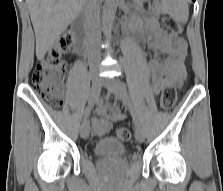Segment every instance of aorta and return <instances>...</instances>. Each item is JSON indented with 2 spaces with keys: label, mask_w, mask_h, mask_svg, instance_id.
Here are the masks:
<instances>
[{
  "label": "aorta",
  "mask_w": 223,
  "mask_h": 191,
  "mask_svg": "<svg viewBox=\"0 0 223 191\" xmlns=\"http://www.w3.org/2000/svg\"><path fill=\"white\" fill-rule=\"evenodd\" d=\"M118 0H105L102 11L103 31L107 37H111L113 22L116 15Z\"/></svg>",
  "instance_id": "obj_1"
}]
</instances>
